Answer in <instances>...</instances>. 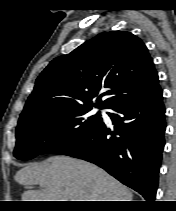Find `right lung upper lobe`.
I'll use <instances>...</instances> for the list:
<instances>
[{"label": "right lung upper lobe", "mask_w": 176, "mask_h": 211, "mask_svg": "<svg viewBox=\"0 0 176 211\" xmlns=\"http://www.w3.org/2000/svg\"><path fill=\"white\" fill-rule=\"evenodd\" d=\"M157 85L158 75L142 40L126 31L105 32L50 62L37 78L20 118L80 106L112 109ZM105 95L108 98L101 101Z\"/></svg>", "instance_id": "right-lung-upper-lobe-1"}]
</instances>
